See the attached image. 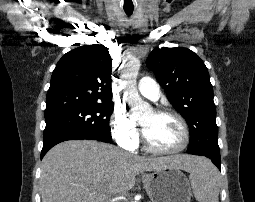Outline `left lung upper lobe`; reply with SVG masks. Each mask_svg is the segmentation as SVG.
<instances>
[{"mask_svg": "<svg viewBox=\"0 0 255 202\" xmlns=\"http://www.w3.org/2000/svg\"><path fill=\"white\" fill-rule=\"evenodd\" d=\"M171 104L190 128L188 153L220 154L213 88L204 62L187 48H155L147 59Z\"/></svg>", "mask_w": 255, "mask_h": 202, "instance_id": "5c2ea615", "label": "left lung upper lobe"}]
</instances>
